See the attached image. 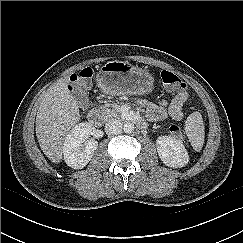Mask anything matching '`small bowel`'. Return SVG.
<instances>
[{
	"mask_svg": "<svg viewBox=\"0 0 243 243\" xmlns=\"http://www.w3.org/2000/svg\"><path fill=\"white\" fill-rule=\"evenodd\" d=\"M187 99L188 93L184 90L177 93L170 103L162 100L158 105H150L147 109V115L154 120H163L170 117L173 120L180 121L185 117L183 106Z\"/></svg>",
	"mask_w": 243,
	"mask_h": 243,
	"instance_id": "obj_1",
	"label": "small bowel"
}]
</instances>
